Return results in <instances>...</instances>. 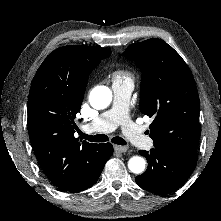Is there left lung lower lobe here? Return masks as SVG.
Here are the masks:
<instances>
[{"mask_svg": "<svg viewBox=\"0 0 221 221\" xmlns=\"http://www.w3.org/2000/svg\"><path fill=\"white\" fill-rule=\"evenodd\" d=\"M140 154L147 159L148 167L135 178L136 183L156 194H168L181 187L197 163V153L185 150L154 147Z\"/></svg>", "mask_w": 221, "mask_h": 221, "instance_id": "obj_1", "label": "left lung lower lobe"}]
</instances>
